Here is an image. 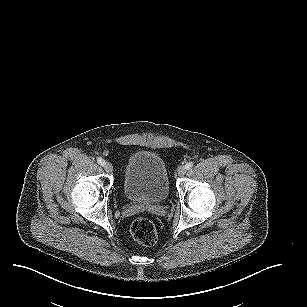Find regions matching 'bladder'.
Masks as SVG:
<instances>
[{"label": "bladder", "mask_w": 307, "mask_h": 307, "mask_svg": "<svg viewBox=\"0 0 307 307\" xmlns=\"http://www.w3.org/2000/svg\"><path fill=\"white\" fill-rule=\"evenodd\" d=\"M122 191L130 203L163 202L169 194V183L160 156L153 152L132 154L123 173Z\"/></svg>", "instance_id": "31cf9c89"}]
</instances>
